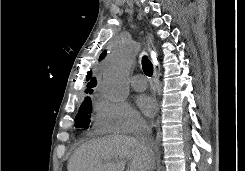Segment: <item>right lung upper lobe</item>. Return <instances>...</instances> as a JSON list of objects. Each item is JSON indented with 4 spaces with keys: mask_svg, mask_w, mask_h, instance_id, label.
Returning <instances> with one entry per match:
<instances>
[{
    "mask_svg": "<svg viewBox=\"0 0 245 171\" xmlns=\"http://www.w3.org/2000/svg\"><path fill=\"white\" fill-rule=\"evenodd\" d=\"M87 81L88 84H87V90L85 91L86 93H92V88L96 86L97 84V81H96V78L95 77H92V72H88V75H87Z\"/></svg>",
    "mask_w": 245,
    "mask_h": 171,
    "instance_id": "right-lung-upper-lobe-1",
    "label": "right lung upper lobe"
}]
</instances>
